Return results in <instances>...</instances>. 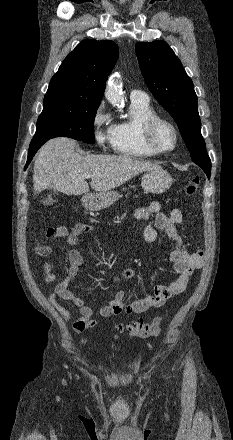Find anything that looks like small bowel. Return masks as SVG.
<instances>
[{
    "mask_svg": "<svg viewBox=\"0 0 233 440\" xmlns=\"http://www.w3.org/2000/svg\"><path fill=\"white\" fill-rule=\"evenodd\" d=\"M154 216V224H148L143 230L145 241L153 243L157 240V229L164 230L174 241L173 250L170 253V260L177 278L169 285H156L154 294L132 302H125V292L117 291L113 298L106 305L101 306L94 311L86 304L85 299L76 296L69 288V284L74 281L84 263L82 254L75 248L79 237L92 231L93 227L89 224L78 223L70 230L65 226L50 227L46 233V239L51 241L57 238H66L69 247L70 268L64 280L59 282L54 291L49 295V302L52 307L60 314L64 321H69L72 317L71 312L59 303V299L72 302L79 309V318L72 325L75 334L83 333L97 326V322L92 317L97 314L100 317H110L125 314H142L152 308H160L172 297L182 293L189 282L193 272L200 269L204 263V254L202 250L190 253L186 244L178 233L182 224L183 216L179 209H173L169 214L161 212V205L157 201H152L148 206L138 208L134 211L133 217L137 220H147ZM35 253L41 257H48L51 252V246L47 243L36 242L34 246ZM43 281L46 285L57 280L58 275L54 271L52 263H46L42 269ZM135 270L131 268L124 269L120 274L112 276V280L120 283L134 278Z\"/></svg>",
    "mask_w": 233,
    "mask_h": 440,
    "instance_id": "small-bowel-1",
    "label": "small bowel"
}]
</instances>
